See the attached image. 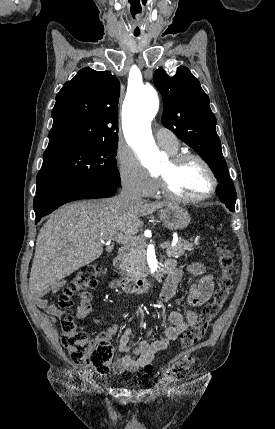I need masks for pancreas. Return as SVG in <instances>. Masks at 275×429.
<instances>
[{"instance_id": "cf45deb5", "label": "pancreas", "mask_w": 275, "mask_h": 429, "mask_svg": "<svg viewBox=\"0 0 275 429\" xmlns=\"http://www.w3.org/2000/svg\"><path fill=\"white\" fill-rule=\"evenodd\" d=\"M191 242L179 238L175 246H171L168 242L166 247V255L168 257H179L185 254V251H192L195 245H199V237L195 239L191 238ZM146 243L144 240L139 241L134 249L126 257V264L130 267L126 268V274L128 277L136 278L144 275L147 271L146 266Z\"/></svg>"}]
</instances>
